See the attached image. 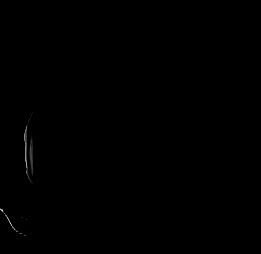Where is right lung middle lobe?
Wrapping results in <instances>:
<instances>
[{
    "label": "right lung middle lobe",
    "instance_id": "dd1d6c3e",
    "mask_svg": "<svg viewBox=\"0 0 261 254\" xmlns=\"http://www.w3.org/2000/svg\"><path fill=\"white\" fill-rule=\"evenodd\" d=\"M95 108L91 89L74 84L55 101L51 110V119L76 123L92 135L99 137L102 127L95 119Z\"/></svg>",
    "mask_w": 261,
    "mask_h": 254
}]
</instances>
